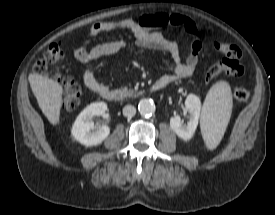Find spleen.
Listing matches in <instances>:
<instances>
[{
	"instance_id": "spleen-1",
	"label": "spleen",
	"mask_w": 275,
	"mask_h": 215,
	"mask_svg": "<svg viewBox=\"0 0 275 215\" xmlns=\"http://www.w3.org/2000/svg\"><path fill=\"white\" fill-rule=\"evenodd\" d=\"M232 93L226 81H218L209 90L201 113V131L208 149L220 143L232 111Z\"/></svg>"
}]
</instances>
